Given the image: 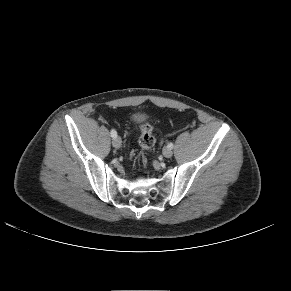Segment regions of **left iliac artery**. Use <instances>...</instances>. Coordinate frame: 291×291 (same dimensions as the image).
I'll list each match as a JSON object with an SVG mask.
<instances>
[{"mask_svg":"<svg viewBox=\"0 0 291 291\" xmlns=\"http://www.w3.org/2000/svg\"><path fill=\"white\" fill-rule=\"evenodd\" d=\"M168 147L172 149V148H173V143L170 142V143L168 144Z\"/></svg>","mask_w":291,"mask_h":291,"instance_id":"1","label":"left iliac artery"}]
</instances>
